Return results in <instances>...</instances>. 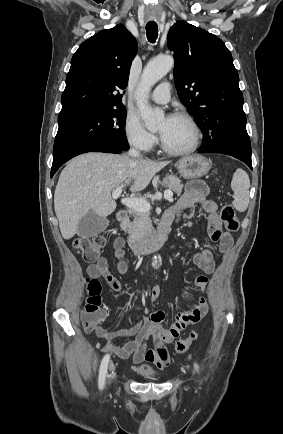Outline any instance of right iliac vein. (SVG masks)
Segmentation results:
<instances>
[{
	"label": "right iliac vein",
	"mask_w": 283,
	"mask_h": 434,
	"mask_svg": "<svg viewBox=\"0 0 283 434\" xmlns=\"http://www.w3.org/2000/svg\"><path fill=\"white\" fill-rule=\"evenodd\" d=\"M113 370V367L112 366H110V372H109V374H108V382L110 383V381H111V379H112V373H111V371Z\"/></svg>",
	"instance_id": "right-iliac-vein-1"
}]
</instances>
